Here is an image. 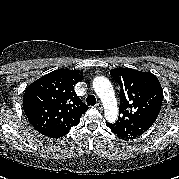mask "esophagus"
Segmentation results:
<instances>
[{
	"mask_svg": "<svg viewBox=\"0 0 179 179\" xmlns=\"http://www.w3.org/2000/svg\"><path fill=\"white\" fill-rule=\"evenodd\" d=\"M96 108L99 109V110H103V105H102V103H100V102L97 103V104H96Z\"/></svg>",
	"mask_w": 179,
	"mask_h": 179,
	"instance_id": "esophagus-1",
	"label": "esophagus"
}]
</instances>
